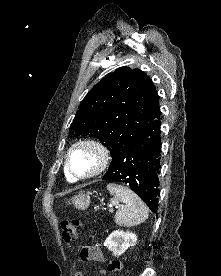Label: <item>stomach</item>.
Returning <instances> with one entry per match:
<instances>
[{
	"label": "stomach",
	"instance_id": "obj_1",
	"mask_svg": "<svg viewBox=\"0 0 221 276\" xmlns=\"http://www.w3.org/2000/svg\"><path fill=\"white\" fill-rule=\"evenodd\" d=\"M71 202L77 209L84 210L90 204V196L88 194L77 195L71 199Z\"/></svg>",
	"mask_w": 221,
	"mask_h": 276
}]
</instances>
